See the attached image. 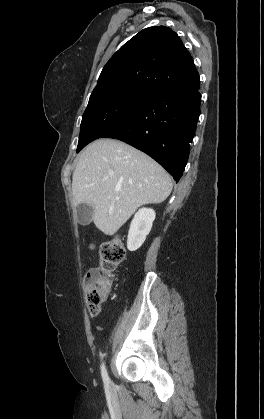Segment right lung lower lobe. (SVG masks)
<instances>
[{
	"label": "right lung lower lobe",
	"instance_id": "98d812e1",
	"mask_svg": "<svg viewBox=\"0 0 264 419\" xmlns=\"http://www.w3.org/2000/svg\"><path fill=\"white\" fill-rule=\"evenodd\" d=\"M200 81L153 94L100 138L124 141L145 152L180 180L200 115Z\"/></svg>",
	"mask_w": 264,
	"mask_h": 419
}]
</instances>
